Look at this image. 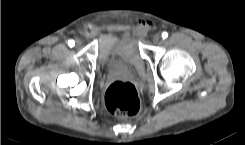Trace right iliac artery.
I'll list each match as a JSON object with an SVG mask.
<instances>
[{"instance_id": "82829eb1", "label": "right iliac artery", "mask_w": 245, "mask_h": 145, "mask_svg": "<svg viewBox=\"0 0 245 145\" xmlns=\"http://www.w3.org/2000/svg\"><path fill=\"white\" fill-rule=\"evenodd\" d=\"M68 45L70 46V47H73L74 45H75V42H74V40H72V39H70V40H68Z\"/></svg>"}]
</instances>
